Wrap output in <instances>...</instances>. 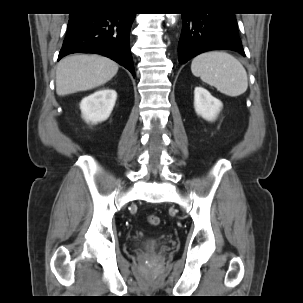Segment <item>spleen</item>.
Instances as JSON below:
<instances>
[{
	"mask_svg": "<svg viewBox=\"0 0 303 303\" xmlns=\"http://www.w3.org/2000/svg\"><path fill=\"white\" fill-rule=\"evenodd\" d=\"M191 71L194 76L219 92L237 97L248 88L247 73L234 56L223 51H211L198 55L192 60Z\"/></svg>",
	"mask_w": 303,
	"mask_h": 303,
	"instance_id": "obj_1",
	"label": "spleen"
}]
</instances>
